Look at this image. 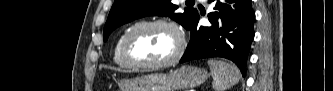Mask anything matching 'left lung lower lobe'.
Masks as SVG:
<instances>
[{"label": "left lung lower lobe", "instance_id": "left-lung-lower-lobe-1", "mask_svg": "<svg viewBox=\"0 0 333 91\" xmlns=\"http://www.w3.org/2000/svg\"><path fill=\"white\" fill-rule=\"evenodd\" d=\"M211 2H214V9L217 10L208 15L211 24L199 27V15L196 14L188 29L191 30V39L180 63L223 57L233 61L245 76L254 38L255 13L251 0H230V5L218 0H209Z\"/></svg>", "mask_w": 333, "mask_h": 91}]
</instances>
